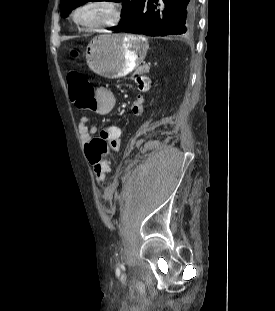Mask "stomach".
Returning <instances> with one entry per match:
<instances>
[{"instance_id":"1","label":"stomach","mask_w":275,"mask_h":311,"mask_svg":"<svg viewBox=\"0 0 275 311\" xmlns=\"http://www.w3.org/2000/svg\"><path fill=\"white\" fill-rule=\"evenodd\" d=\"M148 42L142 36L104 34L92 39L85 52L89 68L106 78L124 77L144 60Z\"/></svg>"}]
</instances>
